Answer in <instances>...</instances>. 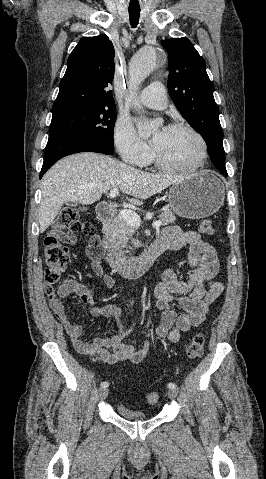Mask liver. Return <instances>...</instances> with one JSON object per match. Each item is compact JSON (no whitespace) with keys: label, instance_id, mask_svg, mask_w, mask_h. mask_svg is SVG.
<instances>
[{"label":"liver","instance_id":"liver-1","mask_svg":"<svg viewBox=\"0 0 266 479\" xmlns=\"http://www.w3.org/2000/svg\"><path fill=\"white\" fill-rule=\"evenodd\" d=\"M186 178L181 175L143 172L123 162L97 153H77L57 162L41 181L39 206L40 233L54 221L67 201L90 205L104 193L119 188L133 196L130 202L142 201Z\"/></svg>","mask_w":266,"mask_h":479}]
</instances>
